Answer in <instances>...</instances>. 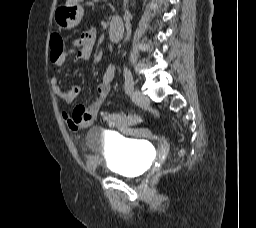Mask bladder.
<instances>
[{"label":"bladder","instance_id":"31cf9c89","mask_svg":"<svg viewBox=\"0 0 256 228\" xmlns=\"http://www.w3.org/2000/svg\"><path fill=\"white\" fill-rule=\"evenodd\" d=\"M85 142L89 151L87 164L95 169L129 178L138 177L147 169L149 152L139 141L113 138L100 128H92Z\"/></svg>","mask_w":256,"mask_h":228}]
</instances>
